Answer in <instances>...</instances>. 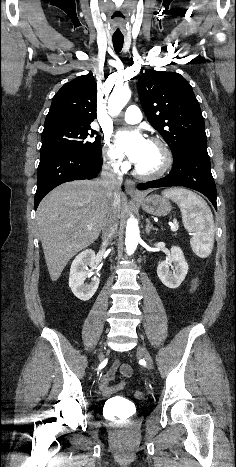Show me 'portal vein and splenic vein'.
<instances>
[{"label":"portal vein and splenic vein","instance_id":"18ae733b","mask_svg":"<svg viewBox=\"0 0 236 467\" xmlns=\"http://www.w3.org/2000/svg\"><path fill=\"white\" fill-rule=\"evenodd\" d=\"M88 228L91 229V227H88ZM177 229H178V224H177L176 221H174V224L172 225L171 230L172 231H177Z\"/></svg>","mask_w":236,"mask_h":467}]
</instances>
